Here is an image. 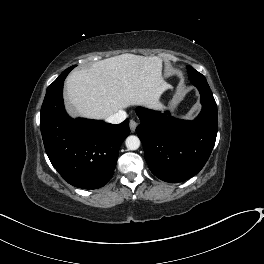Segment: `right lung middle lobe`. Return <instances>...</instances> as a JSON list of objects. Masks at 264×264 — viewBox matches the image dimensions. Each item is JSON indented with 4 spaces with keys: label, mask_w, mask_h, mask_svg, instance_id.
Segmentation results:
<instances>
[{
    "label": "right lung middle lobe",
    "mask_w": 264,
    "mask_h": 264,
    "mask_svg": "<svg viewBox=\"0 0 264 264\" xmlns=\"http://www.w3.org/2000/svg\"><path fill=\"white\" fill-rule=\"evenodd\" d=\"M75 66H71V67H69L68 69H66L65 71H63L62 73H61V75L48 87V88H50V87H52V86H54V85H56L57 84V82H59L60 80H62V78L63 77H65V76H67L68 75V73L74 68Z\"/></svg>",
    "instance_id": "obj_1"
}]
</instances>
